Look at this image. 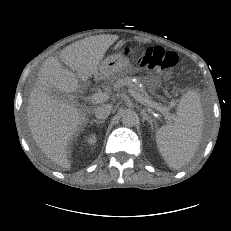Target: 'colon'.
Returning a JSON list of instances; mask_svg holds the SVG:
<instances>
[{"mask_svg": "<svg viewBox=\"0 0 231 231\" xmlns=\"http://www.w3.org/2000/svg\"><path fill=\"white\" fill-rule=\"evenodd\" d=\"M125 54L135 60L139 66L159 71H169L178 61V57L174 52L165 51L159 46L148 47L140 52L126 48Z\"/></svg>", "mask_w": 231, "mask_h": 231, "instance_id": "1", "label": "colon"}]
</instances>
